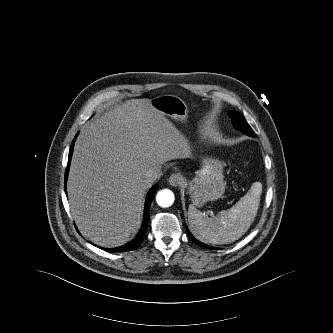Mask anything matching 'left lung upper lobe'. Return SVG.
<instances>
[{"mask_svg":"<svg viewBox=\"0 0 333 333\" xmlns=\"http://www.w3.org/2000/svg\"><path fill=\"white\" fill-rule=\"evenodd\" d=\"M228 115L231 117L232 123L235 126V128H237L238 130L242 131L243 133L249 136L253 135L250 126L248 125V123L246 122L241 113L236 111H229Z\"/></svg>","mask_w":333,"mask_h":333,"instance_id":"left-lung-upper-lobe-1","label":"left lung upper lobe"}]
</instances>
